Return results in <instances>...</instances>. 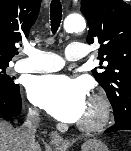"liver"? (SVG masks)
Instances as JSON below:
<instances>
[{
	"label": "liver",
	"instance_id": "6515ba94",
	"mask_svg": "<svg viewBox=\"0 0 131 151\" xmlns=\"http://www.w3.org/2000/svg\"><path fill=\"white\" fill-rule=\"evenodd\" d=\"M37 151H41L37 144ZM19 142L18 135L13 126L0 120V151H23Z\"/></svg>",
	"mask_w": 131,
	"mask_h": 151
}]
</instances>
